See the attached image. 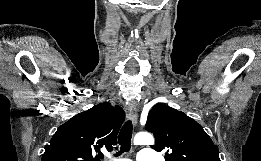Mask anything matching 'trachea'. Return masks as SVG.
<instances>
[{"instance_id": "3493384b", "label": "trachea", "mask_w": 261, "mask_h": 161, "mask_svg": "<svg viewBox=\"0 0 261 161\" xmlns=\"http://www.w3.org/2000/svg\"><path fill=\"white\" fill-rule=\"evenodd\" d=\"M132 130H133L132 122L131 121L125 122V124L123 125V127L120 130L119 137H118L120 151L115 156H118L121 153H124V152H127L130 150Z\"/></svg>"}]
</instances>
